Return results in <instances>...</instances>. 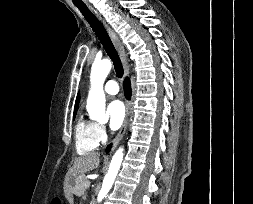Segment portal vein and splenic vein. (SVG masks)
<instances>
[{
    "label": "portal vein and splenic vein",
    "instance_id": "1",
    "mask_svg": "<svg viewBox=\"0 0 253 204\" xmlns=\"http://www.w3.org/2000/svg\"><path fill=\"white\" fill-rule=\"evenodd\" d=\"M89 186H90V181L87 180L86 183H85V187L87 188V187H89Z\"/></svg>",
    "mask_w": 253,
    "mask_h": 204
}]
</instances>
